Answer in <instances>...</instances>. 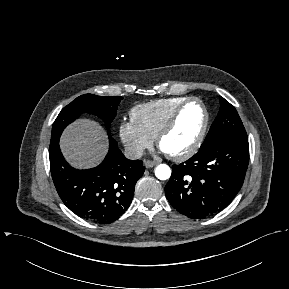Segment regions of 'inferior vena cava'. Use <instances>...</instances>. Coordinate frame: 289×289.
I'll list each match as a JSON object with an SVG mask.
<instances>
[{
    "label": "inferior vena cava",
    "instance_id": "inferior-vena-cava-1",
    "mask_svg": "<svg viewBox=\"0 0 289 289\" xmlns=\"http://www.w3.org/2000/svg\"><path fill=\"white\" fill-rule=\"evenodd\" d=\"M124 155L130 160H137L143 156V149L133 146L125 147Z\"/></svg>",
    "mask_w": 289,
    "mask_h": 289
}]
</instances>
